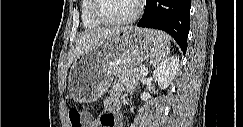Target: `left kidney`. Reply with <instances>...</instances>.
I'll return each mask as SVG.
<instances>
[{"label": "left kidney", "mask_w": 243, "mask_h": 127, "mask_svg": "<svg viewBox=\"0 0 243 127\" xmlns=\"http://www.w3.org/2000/svg\"><path fill=\"white\" fill-rule=\"evenodd\" d=\"M179 67V57L172 56L157 66L153 72V77L158 82L161 89H166L174 79ZM149 93H142L140 98L147 101L150 98Z\"/></svg>", "instance_id": "1"}]
</instances>
